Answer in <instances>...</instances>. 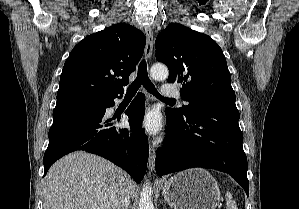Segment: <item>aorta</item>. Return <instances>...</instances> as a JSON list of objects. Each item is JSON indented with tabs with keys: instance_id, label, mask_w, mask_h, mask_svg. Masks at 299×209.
Listing matches in <instances>:
<instances>
[{
	"instance_id": "1",
	"label": "aorta",
	"mask_w": 299,
	"mask_h": 209,
	"mask_svg": "<svg viewBox=\"0 0 299 209\" xmlns=\"http://www.w3.org/2000/svg\"><path fill=\"white\" fill-rule=\"evenodd\" d=\"M150 74L152 78L155 80H164L168 77V69L165 65L156 64L151 67ZM152 188L151 185L146 183L142 187V191L140 193L139 200V208L138 209H154V205L152 202Z\"/></svg>"
}]
</instances>
